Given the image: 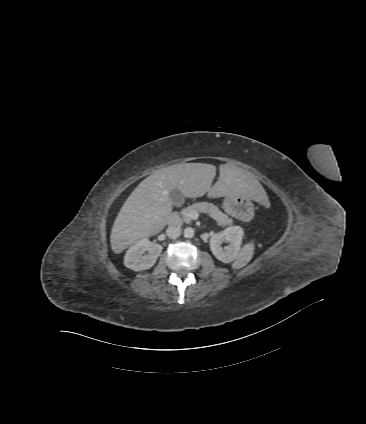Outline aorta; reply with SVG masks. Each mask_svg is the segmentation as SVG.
I'll return each instance as SVG.
<instances>
[{"label": "aorta", "instance_id": "obj_1", "mask_svg": "<svg viewBox=\"0 0 366 424\" xmlns=\"http://www.w3.org/2000/svg\"><path fill=\"white\" fill-rule=\"evenodd\" d=\"M194 236V229L191 227H187L184 229V237L185 238H193Z\"/></svg>", "mask_w": 366, "mask_h": 424}]
</instances>
